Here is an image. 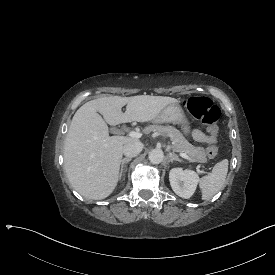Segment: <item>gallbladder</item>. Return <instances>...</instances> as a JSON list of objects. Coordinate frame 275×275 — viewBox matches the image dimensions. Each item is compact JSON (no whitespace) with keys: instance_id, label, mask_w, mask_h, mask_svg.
Here are the masks:
<instances>
[{"instance_id":"bac80fb5","label":"gallbladder","mask_w":275,"mask_h":275,"mask_svg":"<svg viewBox=\"0 0 275 275\" xmlns=\"http://www.w3.org/2000/svg\"><path fill=\"white\" fill-rule=\"evenodd\" d=\"M109 131H110V133L115 134V133L118 131V128L112 126V127H110V130H109Z\"/></svg>"}]
</instances>
